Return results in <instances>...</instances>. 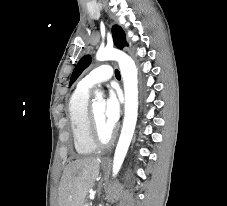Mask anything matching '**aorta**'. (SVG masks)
I'll list each match as a JSON object with an SVG mask.
<instances>
[{"label": "aorta", "mask_w": 227, "mask_h": 206, "mask_svg": "<svg viewBox=\"0 0 227 206\" xmlns=\"http://www.w3.org/2000/svg\"><path fill=\"white\" fill-rule=\"evenodd\" d=\"M98 61L115 60L119 64L121 76L124 83L125 93V115L120 138L115 150L113 160V176L115 177L124 161L129 145L131 143L138 115V78L137 68L133 59L123 51L114 48L99 49L96 53ZM101 93L96 91V97Z\"/></svg>", "instance_id": "1"}]
</instances>
